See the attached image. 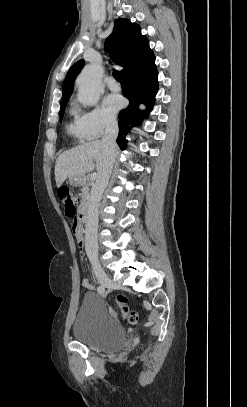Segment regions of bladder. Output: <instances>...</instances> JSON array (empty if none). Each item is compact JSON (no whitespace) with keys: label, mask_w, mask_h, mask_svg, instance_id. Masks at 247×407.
Wrapping results in <instances>:
<instances>
[{"label":"bladder","mask_w":247,"mask_h":407,"mask_svg":"<svg viewBox=\"0 0 247 407\" xmlns=\"http://www.w3.org/2000/svg\"><path fill=\"white\" fill-rule=\"evenodd\" d=\"M76 341L101 351L112 353L126 343V331L109 311L103 299L93 293L82 300L73 325Z\"/></svg>","instance_id":"31cf9c89"}]
</instances>
